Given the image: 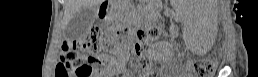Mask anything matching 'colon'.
I'll list each match as a JSON object with an SVG mask.
<instances>
[{
    "mask_svg": "<svg viewBox=\"0 0 258 77\" xmlns=\"http://www.w3.org/2000/svg\"><path fill=\"white\" fill-rule=\"evenodd\" d=\"M163 33L158 26L145 29L135 41V50L140 52V65L148 67L150 62L146 52L150 45L161 39ZM104 44V33L98 28L91 29L82 38L65 47L56 66V77H96L99 75L101 58L98 55ZM118 41L111 46V53L122 51ZM191 69L197 77H208L215 70V62L210 58H201L191 63Z\"/></svg>",
    "mask_w": 258,
    "mask_h": 77,
    "instance_id": "1",
    "label": "colon"
}]
</instances>
